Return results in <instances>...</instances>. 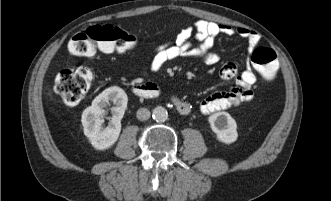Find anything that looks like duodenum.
I'll return each instance as SVG.
<instances>
[{
	"label": "duodenum",
	"instance_id": "duodenum-1",
	"mask_svg": "<svg viewBox=\"0 0 331 201\" xmlns=\"http://www.w3.org/2000/svg\"><path fill=\"white\" fill-rule=\"evenodd\" d=\"M131 91L134 95L141 98L154 99L159 96V90L153 85L133 84Z\"/></svg>",
	"mask_w": 331,
	"mask_h": 201
}]
</instances>
